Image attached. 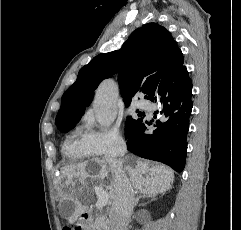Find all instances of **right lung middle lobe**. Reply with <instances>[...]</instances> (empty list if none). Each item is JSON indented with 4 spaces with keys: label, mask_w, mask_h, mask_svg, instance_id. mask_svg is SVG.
<instances>
[{
    "label": "right lung middle lobe",
    "mask_w": 241,
    "mask_h": 230,
    "mask_svg": "<svg viewBox=\"0 0 241 230\" xmlns=\"http://www.w3.org/2000/svg\"><path fill=\"white\" fill-rule=\"evenodd\" d=\"M138 112V111H137ZM143 113H138V116L135 117H129L126 121V138L128 137L131 129L136 126L137 123H139L144 117ZM71 128L64 130L63 132L69 131Z\"/></svg>",
    "instance_id": "dd1d6c3e"
}]
</instances>
